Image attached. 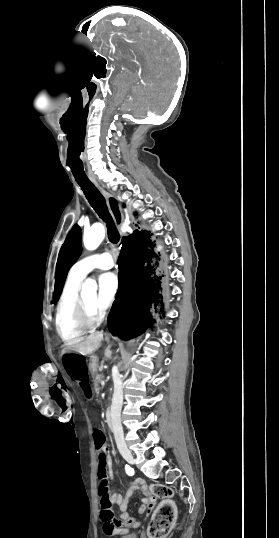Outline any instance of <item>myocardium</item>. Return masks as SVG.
Here are the masks:
<instances>
[{
    "instance_id": "myocardium-1",
    "label": "myocardium",
    "mask_w": 279,
    "mask_h": 538,
    "mask_svg": "<svg viewBox=\"0 0 279 538\" xmlns=\"http://www.w3.org/2000/svg\"><path fill=\"white\" fill-rule=\"evenodd\" d=\"M100 313L98 307L92 305L81 294L76 304L72 307L70 312V321L72 325L80 328H91L100 320Z\"/></svg>"
}]
</instances>
